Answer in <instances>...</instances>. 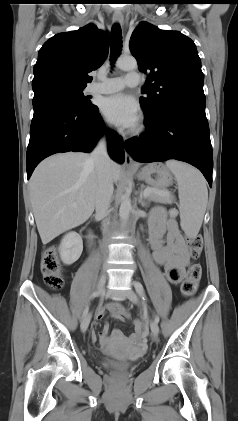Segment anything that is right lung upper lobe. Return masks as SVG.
I'll use <instances>...</instances> for the list:
<instances>
[{"instance_id": "right-lung-upper-lobe-1", "label": "right lung upper lobe", "mask_w": 238, "mask_h": 421, "mask_svg": "<svg viewBox=\"0 0 238 421\" xmlns=\"http://www.w3.org/2000/svg\"><path fill=\"white\" fill-rule=\"evenodd\" d=\"M108 51V33L94 24L56 34L39 50L32 86L57 82L86 87L92 80L88 73L103 64Z\"/></svg>"}]
</instances>
